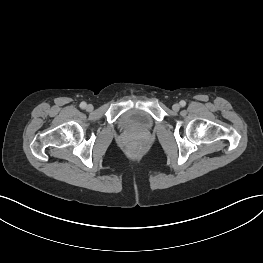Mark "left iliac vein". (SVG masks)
<instances>
[{
  "instance_id": "1",
  "label": "left iliac vein",
  "mask_w": 263,
  "mask_h": 263,
  "mask_svg": "<svg viewBox=\"0 0 263 263\" xmlns=\"http://www.w3.org/2000/svg\"><path fill=\"white\" fill-rule=\"evenodd\" d=\"M172 109H173L174 111H179L180 105L176 103V104H174V105L172 106Z\"/></svg>"
}]
</instances>
